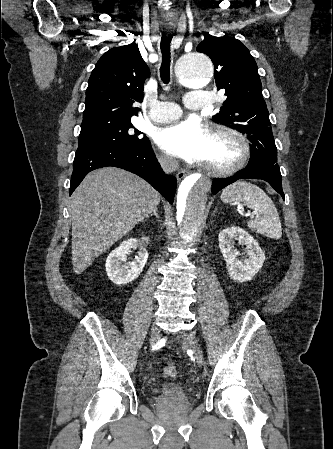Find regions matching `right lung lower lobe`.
Returning <instances> with one entry per match:
<instances>
[{"instance_id":"98d812e1","label":"right lung lower lobe","mask_w":333,"mask_h":449,"mask_svg":"<svg viewBox=\"0 0 333 449\" xmlns=\"http://www.w3.org/2000/svg\"><path fill=\"white\" fill-rule=\"evenodd\" d=\"M114 166L133 172L147 180L171 204L177 181L174 176L165 177L149 141L140 149L115 146L78 148L74 158L70 195L92 170Z\"/></svg>"}]
</instances>
